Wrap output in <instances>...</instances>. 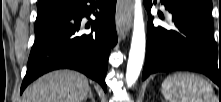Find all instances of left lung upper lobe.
Masks as SVG:
<instances>
[{"label": "left lung upper lobe", "mask_w": 221, "mask_h": 102, "mask_svg": "<svg viewBox=\"0 0 221 102\" xmlns=\"http://www.w3.org/2000/svg\"><path fill=\"white\" fill-rule=\"evenodd\" d=\"M198 8L202 13L211 17L212 13V1L211 0H184Z\"/></svg>", "instance_id": "obj_1"}]
</instances>
